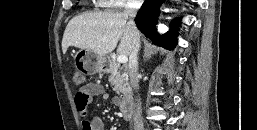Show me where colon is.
<instances>
[{
  "label": "colon",
  "instance_id": "5ec220e1",
  "mask_svg": "<svg viewBox=\"0 0 257 130\" xmlns=\"http://www.w3.org/2000/svg\"><path fill=\"white\" fill-rule=\"evenodd\" d=\"M72 80L74 84L82 85L85 82V75L81 70L75 69L72 73Z\"/></svg>",
  "mask_w": 257,
  "mask_h": 130
}]
</instances>
